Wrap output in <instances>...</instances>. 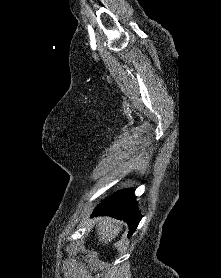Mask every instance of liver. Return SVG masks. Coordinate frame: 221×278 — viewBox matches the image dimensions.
Here are the masks:
<instances>
[{
    "label": "liver",
    "mask_w": 221,
    "mask_h": 278,
    "mask_svg": "<svg viewBox=\"0 0 221 278\" xmlns=\"http://www.w3.org/2000/svg\"><path fill=\"white\" fill-rule=\"evenodd\" d=\"M97 234L100 242L108 244L118 236L122 227L117 220L110 217L98 218Z\"/></svg>",
    "instance_id": "liver-1"
}]
</instances>
